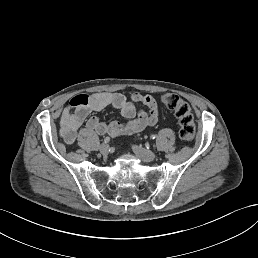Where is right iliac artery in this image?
<instances>
[{"label":"right iliac artery","mask_w":258,"mask_h":258,"mask_svg":"<svg viewBox=\"0 0 258 258\" xmlns=\"http://www.w3.org/2000/svg\"><path fill=\"white\" fill-rule=\"evenodd\" d=\"M109 141H110V137L104 138V142H105V143H108Z\"/></svg>","instance_id":"right-iliac-artery-1"}]
</instances>
